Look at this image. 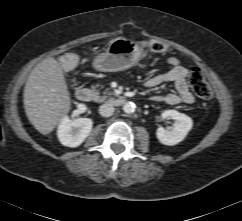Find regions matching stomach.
<instances>
[{
	"label": "stomach",
	"instance_id": "obj_1",
	"mask_svg": "<svg viewBox=\"0 0 242 221\" xmlns=\"http://www.w3.org/2000/svg\"><path fill=\"white\" fill-rule=\"evenodd\" d=\"M144 56L145 52L137 42L119 37L109 43L104 53L93 59L92 66L100 72H119L138 64Z\"/></svg>",
	"mask_w": 242,
	"mask_h": 221
}]
</instances>
